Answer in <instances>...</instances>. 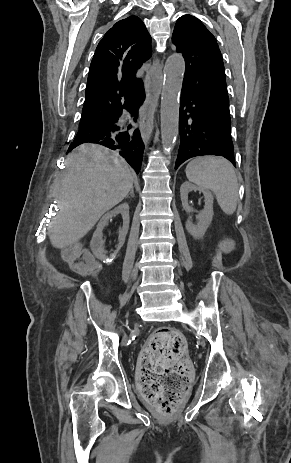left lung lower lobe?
Instances as JSON below:
<instances>
[{"label":"left lung lower lobe","instance_id":"1","mask_svg":"<svg viewBox=\"0 0 291 463\" xmlns=\"http://www.w3.org/2000/svg\"><path fill=\"white\" fill-rule=\"evenodd\" d=\"M179 134L180 147L175 169L186 160L203 155L223 156L236 166L230 116L185 90L181 91L180 98Z\"/></svg>","mask_w":291,"mask_h":463}]
</instances>
